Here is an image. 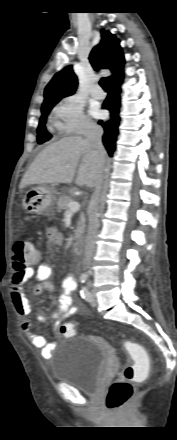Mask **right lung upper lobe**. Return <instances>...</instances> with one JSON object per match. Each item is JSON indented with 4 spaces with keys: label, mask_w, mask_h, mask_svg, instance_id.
Listing matches in <instances>:
<instances>
[{
    "label": "right lung upper lobe",
    "mask_w": 177,
    "mask_h": 440,
    "mask_svg": "<svg viewBox=\"0 0 177 440\" xmlns=\"http://www.w3.org/2000/svg\"><path fill=\"white\" fill-rule=\"evenodd\" d=\"M89 60L96 70L103 68L112 72V75L107 77L108 81L118 74L125 64L119 40L115 35L104 29L101 30V40L92 49ZM97 60L101 61V67L98 66ZM77 84L78 80L72 66L64 67L55 74L46 86L43 103L58 102L61 98L74 94Z\"/></svg>",
    "instance_id": "obj_1"
}]
</instances>
